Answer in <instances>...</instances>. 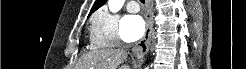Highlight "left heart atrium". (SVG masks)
I'll return each mask as SVG.
<instances>
[{
	"label": "left heart atrium",
	"instance_id": "left-heart-atrium-1",
	"mask_svg": "<svg viewBox=\"0 0 246 69\" xmlns=\"http://www.w3.org/2000/svg\"><path fill=\"white\" fill-rule=\"evenodd\" d=\"M145 31L144 20L138 15H127L121 26V38L125 42H134L140 39Z\"/></svg>",
	"mask_w": 246,
	"mask_h": 69
}]
</instances>
